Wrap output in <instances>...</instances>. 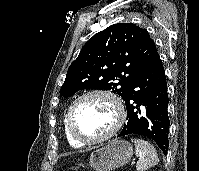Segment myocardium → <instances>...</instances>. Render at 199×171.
Returning a JSON list of instances; mask_svg holds the SVG:
<instances>
[{"label": "myocardium", "instance_id": "obj_1", "mask_svg": "<svg viewBox=\"0 0 199 171\" xmlns=\"http://www.w3.org/2000/svg\"><path fill=\"white\" fill-rule=\"evenodd\" d=\"M92 96H101L105 97L108 100L112 102L115 108L116 112V121L114 126L104 135H101L99 137L94 138H86L81 136L75 129L73 124V113L78 105L79 102L82 100L92 97ZM126 119V110L125 106L123 104V101L121 98L114 92L105 90V89H91L88 90L81 95H79L77 98L74 99V101L71 103V105L68 108L67 114H66V122H67V128L70 133V135L78 142L84 144V145H90V144H97L103 141H106L113 137L115 134L118 133V131L123 126Z\"/></svg>", "mask_w": 199, "mask_h": 171}]
</instances>
